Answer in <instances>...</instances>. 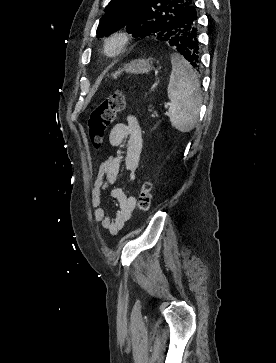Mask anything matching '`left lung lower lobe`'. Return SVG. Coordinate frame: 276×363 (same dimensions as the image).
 <instances>
[{"mask_svg": "<svg viewBox=\"0 0 276 363\" xmlns=\"http://www.w3.org/2000/svg\"><path fill=\"white\" fill-rule=\"evenodd\" d=\"M198 35L197 12L195 6L191 5L178 14L172 31L162 37L188 60L195 72L199 71L201 63Z\"/></svg>", "mask_w": 276, "mask_h": 363, "instance_id": "0a47b994", "label": "left lung lower lobe"}]
</instances>
